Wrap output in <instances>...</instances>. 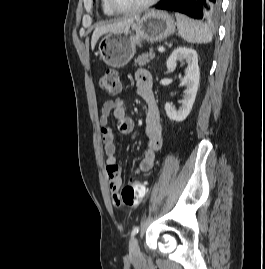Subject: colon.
<instances>
[{"label": "colon", "instance_id": "1", "mask_svg": "<svg viewBox=\"0 0 265 269\" xmlns=\"http://www.w3.org/2000/svg\"><path fill=\"white\" fill-rule=\"evenodd\" d=\"M99 87L103 94L116 96L120 90L119 73L110 69L101 77ZM146 193L144 183L133 181L122 188L118 194V203L123 206H135L139 204Z\"/></svg>", "mask_w": 265, "mask_h": 269}]
</instances>
